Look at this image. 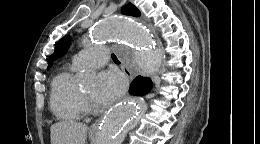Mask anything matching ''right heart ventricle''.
I'll return each instance as SVG.
<instances>
[{"mask_svg": "<svg viewBox=\"0 0 260 144\" xmlns=\"http://www.w3.org/2000/svg\"><path fill=\"white\" fill-rule=\"evenodd\" d=\"M79 69L72 62L63 67L52 80L50 105L53 113L61 120H78L84 113L81 88L75 78V72Z\"/></svg>", "mask_w": 260, "mask_h": 144, "instance_id": "1", "label": "right heart ventricle"}]
</instances>
